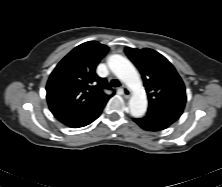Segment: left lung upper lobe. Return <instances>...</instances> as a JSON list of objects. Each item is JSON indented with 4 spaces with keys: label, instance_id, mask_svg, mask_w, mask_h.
<instances>
[{
    "label": "left lung upper lobe",
    "instance_id": "5c2ea615",
    "mask_svg": "<svg viewBox=\"0 0 222 187\" xmlns=\"http://www.w3.org/2000/svg\"><path fill=\"white\" fill-rule=\"evenodd\" d=\"M125 53L142 75L149 108L184 109L186 103L184 83L164 56L149 48L141 50L126 48Z\"/></svg>",
    "mask_w": 222,
    "mask_h": 187
}]
</instances>
